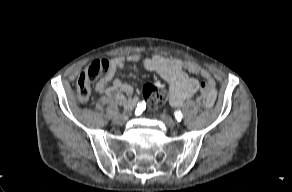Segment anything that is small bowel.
<instances>
[{
    "instance_id": "small-bowel-1",
    "label": "small bowel",
    "mask_w": 292,
    "mask_h": 192,
    "mask_svg": "<svg viewBox=\"0 0 292 192\" xmlns=\"http://www.w3.org/2000/svg\"><path fill=\"white\" fill-rule=\"evenodd\" d=\"M129 62L139 63L144 69L155 72L164 79L169 86V102L174 107H181L197 92H200L199 101L205 107H211L215 101V81L207 70L196 63L159 54L145 58L133 54L112 59L109 71L96 84L97 92L106 94L124 109H132L138 98L134 95L133 86L115 79L114 74L117 70H123ZM190 74L199 75L202 81Z\"/></svg>"
}]
</instances>
